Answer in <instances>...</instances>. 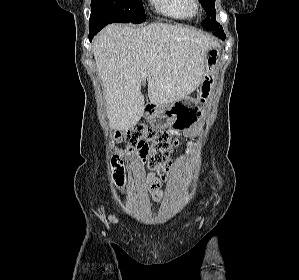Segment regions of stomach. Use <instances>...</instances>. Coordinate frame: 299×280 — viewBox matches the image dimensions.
I'll return each mask as SVG.
<instances>
[{"label": "stomach", "instance_id": "stomach-1", "mask_svg": "<svg viewBox=\"0 0 299 280\" xmlns=\"http://www.w3.org/2000/svg\"><path fill=\"white\" fill-rule=\"evenodd\" d=\"M219 60V52L211 48L206 53L204 63L203 81L198 89L197 99L184 97L180 100L165 105L150 104L145 108L144 115L150 125L156 129L172 127L174 129L186 130L195 122L197 114L195 107L201 102H206L209 97L213 83L211 73Z\"/></svg>", "mask_w": 299, "mask_h": 280}]
</instances>
